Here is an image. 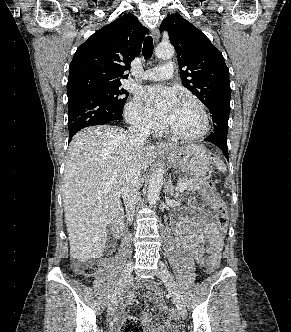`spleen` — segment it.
<instances>
[{"mask_svg":"<svg viewBox=\"0 0 291 332\" xmlns=\"http://www.w3.org/2000/svg\"><path fill=\"white\" fill-rule=\"evenodd\" d=\"M214 163L218 167V170H220L222 172L226 171V166H225V164H224V162L222 160H220L219 158H215L214 159Z\"/></svg>","mask_w":291,"mask_h":332,"instance_id":"spleen-1","label":"spleen"}]
</instances>
